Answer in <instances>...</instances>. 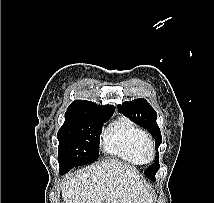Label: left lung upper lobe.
Segmentation results:
<instances>
[{"mask_svg":"<svg viewBox=\"0 0 214 203\" xmlns=\"http://www.w3.org/2000/svg\"><path fill=\"white\" fill-rule=\"evenodd\" d=\"M118 109L136 124L147 129L155 139L156 147H159L162 142V136L156 123L157 113L145 99L138 98L130 102H124L122 105L118 106ZM158 170L159 163L157 154L155 163L145 170V175L152 181H155V174Z\"/></svg>","mask_w":214,"mask_h":203,"instance_id":"1","label":"left lung upper lobe"}]
</instances>
